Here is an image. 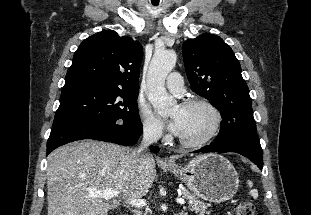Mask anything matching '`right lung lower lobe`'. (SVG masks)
I'll list each match as a JSON object with an SVG mask.
<instances>
[{"mask_svg":"<svg viewBox=\"0 0 311 215\" xmlns=\"http://www.w3.org/2000/svg\"><path fill=\"white\" fill-rule=\"evenodd\" d=\"M142 133V123L65 122L54 125L47 141V155L57 147L81 139H94L124 146L133 145ZM157 152V146L151 148Z\"/></svg>","mask_w":311,"mask_h":215,"instance_id":"right-lung-lower-lobe-1","label":"right lung lower lobe"}]
</instances>
